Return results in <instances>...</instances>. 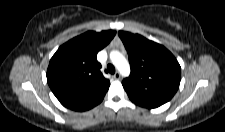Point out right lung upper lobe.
<instances>
[{
  "instance_id": "cb5924a9",
  "label": "right lung upper lobe",
  "mask_w": 225,
  "mask_h": 132,
  "mask_svg": "<svg viewBox=\"0 0 225 132\" xmlns=\"http://www.w3.org/2000/svg\"><path fill=\"white\" fill-rule=\"evenodd\" d=\"M113 30L88 31L56 51L47 69V82L56 98L74 111H86L98 105L110 82L100 71L98 51L113 39Z\"/></svg>"
}]
</instances>
